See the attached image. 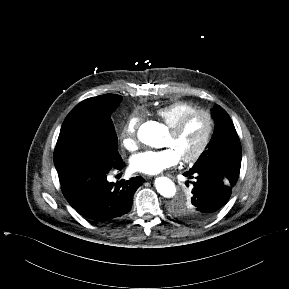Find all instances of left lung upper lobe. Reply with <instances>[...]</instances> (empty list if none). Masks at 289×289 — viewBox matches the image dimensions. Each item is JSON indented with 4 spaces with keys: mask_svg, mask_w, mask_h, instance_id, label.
<instances>
[{
    "mask_svg": "<svg viewBox=\"0 0 289 289\" xmlns=\"http://www.w3.org/2000/svg\"><path fill=\"white\" fill-rule=\"evenodd\" d=\"M215 130L197 162L190 169L197 171L206 168L238 169L241 166V145L233 122L227 112L219 105L212 109ZM172 213L188 222H198L194 218L189 200L178 199L172 207Z\"/></svg>",
    "mask_w": 289,
    "mask_h": 289,
    "instance_id": "obj_1",
    "label": "left lung upper lobe"
}]
</instances>
